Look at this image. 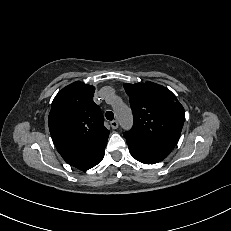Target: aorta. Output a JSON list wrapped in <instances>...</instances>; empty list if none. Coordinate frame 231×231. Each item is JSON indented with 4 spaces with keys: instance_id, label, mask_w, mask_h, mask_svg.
Returning a JSON list of instances; mask_svg holds the SVG:
<instances>
[{
    "instance_id": "762f6f07",
    "label": "aorta",
    "mask_w": 231,
    "mask_h": 231,
    "mask_svg": "<svg viewBox=\"0 0 231 231\" xmlns=\"http://www.w3.org/2000/svg\"><path fill=\"white\" fill-rule=\"evenodd\" d=\"M115 112L120 124L124 129H129L132 126V112L125 104L115 105Z\"/></svg>"
}]
</instances>
